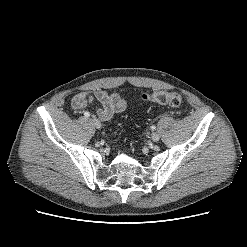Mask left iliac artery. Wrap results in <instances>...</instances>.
<instances>
[{
    "mask_svg": "<svg viewBox=\"0 0 247 247\" xmlns=\"http://www.w3.org/2000/svg\"><path fill=\"white\" fill-rule=\"evenodd\" d=\"M151 129H152V130H155V129H156V126H154V125L151 126Z\"/></svg>",
    "mask_w": 247,
    "mask_h": 247,
    "instance_id": "left-iliac-artery-1",
    "label": "left iliac artery"
}]
</instances>
